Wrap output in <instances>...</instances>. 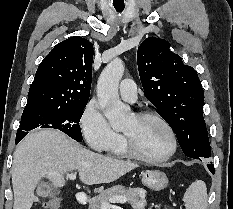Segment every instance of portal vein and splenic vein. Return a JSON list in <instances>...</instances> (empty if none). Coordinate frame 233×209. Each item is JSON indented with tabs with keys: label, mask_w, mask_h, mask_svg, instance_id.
I'll use <instances>...</instances> for the list:
<instances>
[{
	"label": "portal vein and splenic vein",
	"mask_w": 233,
	"mask_h": 209,
	"mask_svg": "<svg viewBox=\"0 0 233 209\" xmlns=\"http://www.w3.org/2000/svg\"><path fill=\"white\" fill-rule=\"evenodd\" d=\"M70 180L76 179V173H71L68 175ZM127 199L125 197H111L108 201L102 203V209H110V203H120L125 204Z\"/></svg>",
	"instance_id": "18ae733b"
}]
</instances>
